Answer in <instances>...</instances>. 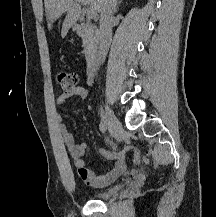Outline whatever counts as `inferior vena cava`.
Instances as JSON below:
<instances>
[{"instance_id": "602c4592", "label": "inferior vena cava", "mask_w": 216, "mask_h": 217, "mask_svg": "<svg viewBox=\"0 0 216 217\" xmlns=\"http://www.w3.org/2000/svg\"><path fill=\"white\" fill-rule=\"evenodd\" d=\"M117 0H105L100 13L99 58L104 60L112 39L113 15L116 12Z\"/></svg>"}]
</instances>
